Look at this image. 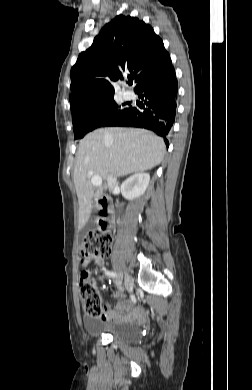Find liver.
Returning a JSON list of instances; mask_svg holds the SVG:
<instances>
[{
	"label": "liver",
	"instance_id": "6515ba94",
	"mask_svg": "<svg viewBox=\"0 0 252 390\" xmlns=\"http://www.w3.org/2000/svg\"><path fill=\"white\" fill-rule=\"evenodd\" d=\"M165 155L162 138L144 129L105 128L87 134L79 143L74 168V184L79 201L78 228L82 229L92 210V198L100 197L104 187L94 194L89 172L103 182L112 176L141 173L159 165Z\"/></svg>",
	"mask_w": 252,
	"mask_h": 390
}]
</instances>
